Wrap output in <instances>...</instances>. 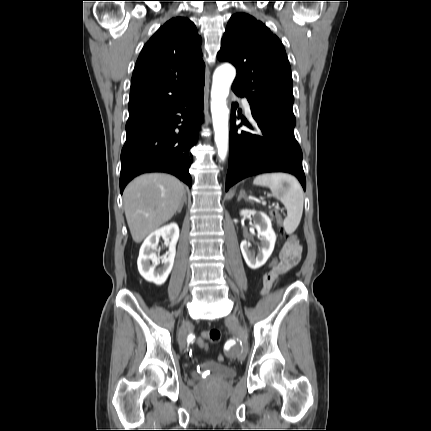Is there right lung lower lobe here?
Masks as SVG:
<instances>
[{"label": "right lung lower lobe", "mask_w": 431, "mask_h": 431, "mask_svg": "<svg viewBox=\"0 0 431 431\" xmlns=\"http://www.w3.org/2000/svg\"><path fill=\"white\" fill-rule=\"evenodd\" d=\"M204 83L176 103L129 117L121 152L120 191L146 172L175 175L191 187L190 148L203 121Z\"/></svg>", "instance_id": "1"}]
</instances>
